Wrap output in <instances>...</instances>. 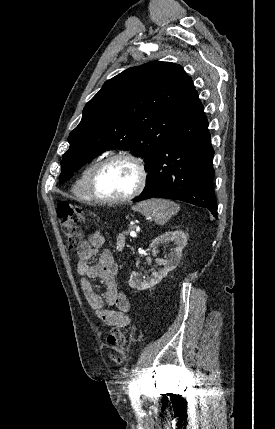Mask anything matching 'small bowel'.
I'll use <instances>...</instances> for the list:
<instances>
[{
	"mask_svg": "<svg viewBox=\"0 0 275 429\" xmlns=\"http://www.w3.org/2000/svg\"><path fill=\"white\" fill-rule=\"evenodd\" d=\"M104 243V237L97 231L90 235L78 249L77 271L82 276L81 288L95 317L109 326L125 327L130 323L129 311L131 308L128 297L119 290L115 276L117 264L111 251L104 250L96 264H90ZM99 278L105 285L104 297L97 294L91 283ZM115 306L116 310L108 308Z\"/></svg>",
	"mask_w": 275,
	"mask_h": 429,
	"instance_id": "obj_1",
	"label": "small bowel"
}]
</instances>
